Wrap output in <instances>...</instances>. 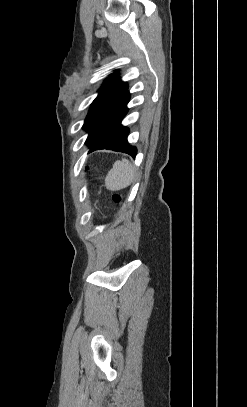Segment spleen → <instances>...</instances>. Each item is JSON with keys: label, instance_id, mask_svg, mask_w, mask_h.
I'll use <instances>...</instances> for the list:
<instances>
[{"label": "spleen", "instance_id": "1", "mask_svg": "<svg viewBox=\"0 0 247 407\" xmlns=\"http://www.w3.org/2000/svg\"><path fill=\"white\" fill-rule=\"evenodd\" d=\"M135 177L132 164L127 159L116 161L113 168L105 178V185L108 190L116 191L131 185Z\"/></svg>", "mask_w": 247, "mask_h": 407}]
</instances>
